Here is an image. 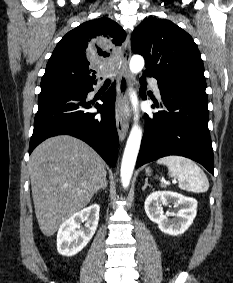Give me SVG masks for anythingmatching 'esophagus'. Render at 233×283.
<instances>
[{
	"mask_svg": "<svg viewBox=\"0 0 233 283\" xmlns=\"http://www.w3.org/2000/svg\"><path fill=\"white\" fill-rule=\"evenodd\" d=\"M131 58L130 35L128 34L122 47V62L118 75V94L116 101V127L119 139L123 141L128 132V120L123 113V108L128 101V83H129V61Z\"/></svg>",
	"mask_w": 233,
	"mask_h": 283,
	"instance_id": "esophagus-1",
	"label": "esophagus"
}]
</instances>
